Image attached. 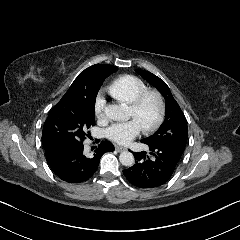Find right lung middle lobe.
<instances>
[{"label":"right lung middle lobe","instance_id":"1","mask_svg":"<svg viewBox=\"0 0 240 240\" xmlns=\"http://www.w3.org/2000/svg\"><path fill=\"white\" fill-rule=\"evenodd\" d=\"M104 79L80 82L73 93L63 96L50 111L42 132L43 146L77 145L84 141L86 129L95 124V99Z\"/></svg>","mask_w":240,"mask_h":240}]
</instances>
